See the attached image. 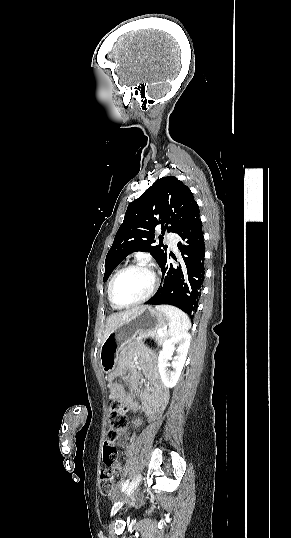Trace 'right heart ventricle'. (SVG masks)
Returning <instances> with one entry per match:
<instances>
[{"mask_svg":"<svg viewBox=\"0 0 291 538\" xmlns=\"http://www.w3.org/2000/svg\"><path fill=\"white\" fill-rule=\"evenodd\" d=\"M110 281H111V280H110ZM109 284H110V282H109ZM108 290H109V285H108Z\"/></svg>","mask_w":291,"mask_h":538,"instance_id":"obj_1","label":"right heart ventricle"}]
</instances>
